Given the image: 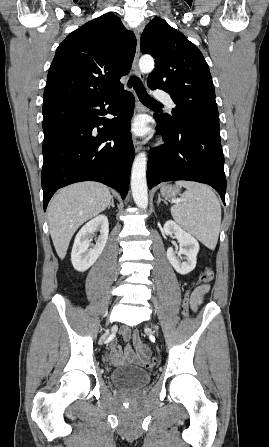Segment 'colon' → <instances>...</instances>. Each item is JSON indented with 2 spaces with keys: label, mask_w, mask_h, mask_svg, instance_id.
I'll return each mask as SVG.
<instances>
[{
  "label": "colon",
  "mask_w": 269,
  "mask_h": 447,
  "mask_svg": "<svg viewBox=\"0 0 269 447\" xmlns=\"http://www.w3.org/2000/svg\"><path fill=\"white\" fill-rule=\"evenodd\" d=\"M215 272L214 269L211 267H206L203 272L201 273L198 282L201 285H206L211 283L214 280ZM190 295L191 292L189 290H186L184 292V295L182 296V300H180L179 305L182 307L183 313H188L189 311V301H190ZM147 353V351H146ZM142 364L147 369L153 368L155 364V360L153 358L147 357L142 360Z\"/></svg>",
  "instance_id": "5ec220e1"
}]
</instances>
